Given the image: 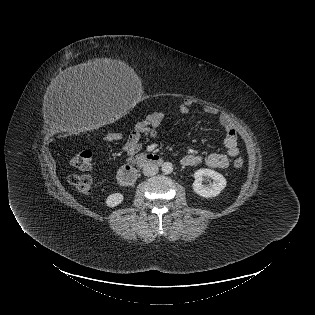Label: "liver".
<instances>
[{"label":"liver","mask_w":315,"mask_h":315,"mask_svg":"<svg viewBox=\"0 0 315 315\" xmlns=\"http://www.w3.org/2000/svg\"><path fill=\"white\" fill-rule=\"evenodd\" d=\"M59 78L68 84L135 82L137 75L125 62L102 58L78 64L64 70Z\"/></svg>","instance_id":"1"}]
</instances>
